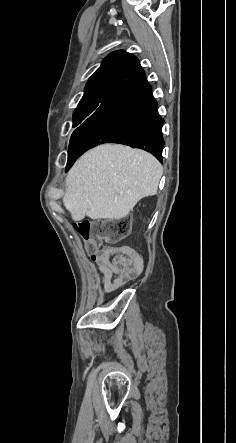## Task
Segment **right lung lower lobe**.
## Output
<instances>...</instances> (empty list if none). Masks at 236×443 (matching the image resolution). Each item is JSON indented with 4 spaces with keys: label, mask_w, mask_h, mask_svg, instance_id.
I'll list each match as a JSON object with an SVG mask.
<instances>
[{
    "label": "right lung lower lobe",
    "mask_w": 236,
    "mask_h": 443,
    "mask_svg": "<svg viewBox=\"0 0 236 443\" xmlns=\"http://www.w3.org/2000/svg\"><path fill=\"white\" fill-rule=\"evenodd\" d=\"M157 107L145 76L109 96L72 139L66 171L85 151L107 142L143 149L162 161L164 120Z\"/></svg>",
    "instance_id": "obj_1"
}]
</instances>
